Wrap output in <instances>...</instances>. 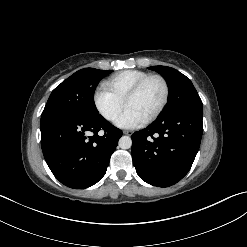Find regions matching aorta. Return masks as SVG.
Instances as JSON below:
<instances>
[{
    "mask_svg": "<svg viewBox=\"0 0 247 247\" xmlns=\"http://www.w3.org/2000/svg\"><path fill=\"white\" fill-rule=\"evenodd\" d=\"M121 149H129L132 146V140L129 136H122L118 143Z\"/></svg>",
    "mask_w": 247,
    "mask_h": 247,
    "instance_id": "aorta-1",
    "label": "aorta"
}]
</instances>
